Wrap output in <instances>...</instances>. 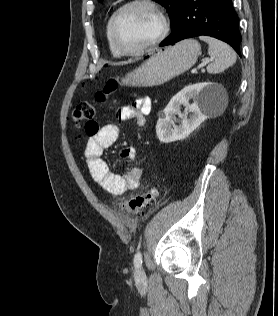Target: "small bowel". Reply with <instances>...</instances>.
Listing matches in <instances>:
<instances>
[{
  "label": "small bowel",
  "mask_w": 278,
  "mask_h": 316,
  "mask_svg": "<svg viewBox=\"0 0 278 316\" xmlns=\"http://www.w3.org/2000/svg\"><path fill=\"white\" fill-rule=\"evenodd\" d=\"M151 111V100L147 97L137 99L133 104L121 106L117 110V118L121 121L135 119L139 127L146 123V116ZM120 135V129L115 124L99 127L98 131L89 136L84 150V158L93 180L107 193L120 196L129 190H136L140 185L142 169L132 167L126 174L113 173L103 159L104 150L112 146ZM120 155L127 160L135 159V150L125 147Z\"/></svg>",
  "instance_id": "small-bowel-1"
}]
</instances>
